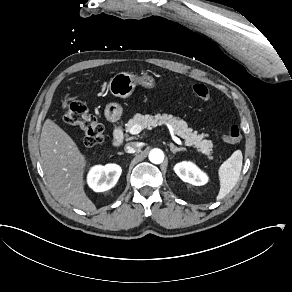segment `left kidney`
<instances>
[{"instance_id": "obj_1", "label": "left kidney", "mask_w": 292, "mask_h": 292, "mask_svg": "<svg viewBox=\"0 0 292 292\" xmlns=\"http://www.w3.org/2000/svg\"><path fill=\"white\" fill-rule=\"evenodd\" d=\"M175 173L184 181L192 185L202 186L208 182V176L194 163L183 161L174 166Z\"/></svg>"}]
</instances>
